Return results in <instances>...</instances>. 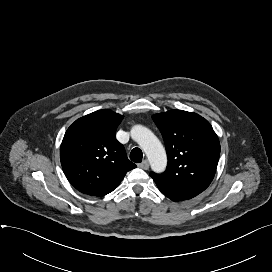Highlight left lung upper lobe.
<instances>
[{
    "label": "left lung upper lobe",
    "mask_w": 272,
    "mask_h": 272,
    "mask_svg": "<svg viewBox=\"0 0 272 272\" xmlns=\"http://www.w3.org/2000/svg\"><path fill=\"white\" fill-rule=\"evenodd\" d=\"M153 121L164 138L168 165L150 173L159 190L173 201L191 199L204 191L216 172L220 143L210 123L194 112L170 110Z\"/></svg>",
    "instance_id": "1"
}]
</instances>
